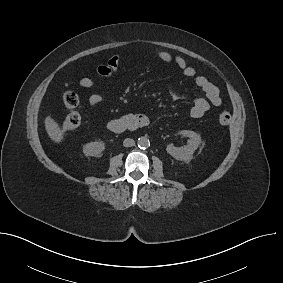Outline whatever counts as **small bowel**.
Returning <instances> with one entry per match:
<instances>
[{
	"label": "small bowel",
	"mask_w": 283,
	"mask_h": 283,
	"mask_svg": "<svg viewBox=\"0 0 283 283\" xmlns=\"http://www.w3.org/2000/svg\"><path fill=\"white\" fill-rule=\"evenodd\" d=\"M152 55L160 61L167 64H175L186 77H195L196 71L187 61L178 55H173L167 51L153 50ZM121 62L120 54H113L105 63L96 67V73L101 77H110L116 73ZM196 85L201 89L204 96L198 97L190 109L192 118H202L212 106L221 105L220 91L212 82L204 76L195 77ZM79 85L82 88H91L95 84V80L91 77H82L79 79ZM169 95L174 100L183 99L184 96L174 89H169ZM104 101V96L99 93L92 94L88 97L86 105L94 107Z\"/></svg>",
	"instance_id": "small-bowel-1"
}]
</instances>
